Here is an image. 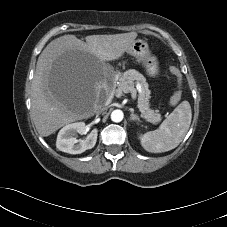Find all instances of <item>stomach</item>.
Listing matches in <instances>:
<instances>
[{"label": "stomach", "instance_id": "stomach-1", "mask_svg": "<svg viewBox=\"0 0 227 227\" xmlns=\"http://www.w3.org/2000/svg\"><path fill=\"white\" fill-rule=\"evenodd\" d=\"M127 53L137 59V62L145 68L147 75L150 77L158 75L159 62L155 56L151 55L146 41L135 40L127 50Z\"/></svg>", "mask_w": 227, "mask_h": 227}]
</instances>
